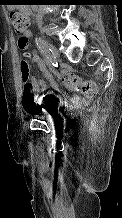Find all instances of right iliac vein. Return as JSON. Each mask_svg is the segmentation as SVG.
I'll return each mask as SVG.
<instances>
[{"mask_svg":"<svg viewBox=\"0 0 122 218\" xmlns=\"http://www.w3.org/2000/svg\"><path fill=\"white\" fill-rule=\"evenodd\" d=\"M47 46H48V48L51 50V53H52L51 58L54 59V60H56L57 58H59V52H58V50L56 49V47H55L53 44H51L50 42H47Z\"/></svg>","mask_w":122,"mask_h":218,"instance_id":"63e3f726","label":"right iliac vein"}]
</instances>
